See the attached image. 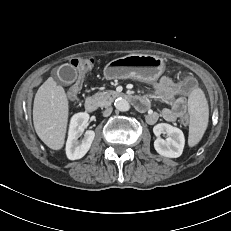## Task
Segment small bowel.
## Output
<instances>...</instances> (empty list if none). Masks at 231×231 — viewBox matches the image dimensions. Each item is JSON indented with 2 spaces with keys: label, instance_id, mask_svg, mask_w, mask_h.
Here are the masks:
<instances>
[{
  "label": "small bowel",
  "instance_id": "obj_1",
  "mask_svg": "<svg viewBox=\"0 0 231 231\" xmlns=\"http://www.w3.org/2000/svg\"><path fill=\"white\" fill-rule=\"evenodd\" d=\"M155 97L163 102L166 107L160 111L148 110L146 121L149 124H155L160 119L167 122H175L178 119L186 117L187 98L181 95L180 85L176 84L171 78L163 77L156 84ZM148 105L150 99L144 98Z\"/></svg>",
  "mask_w": 231,
  "mask_h": 231
}]
</instances>
